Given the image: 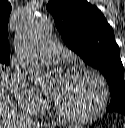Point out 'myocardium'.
<instances>
[{
    "label": "myocardium",
    "mask_w": 125,
    "mask_h": 128,
    "mask_svg": "<svg viewBox=\"0 0 125 128\" xmlns=\"http://www.w3.org/2000/svg\"><path fill=\"white\" fill-rule=\"evenodd\" d=\"M80 72H86L97 79L101 89V98L96 108L84 113H69L59 105L55 98H53V108L57 116L70 122H85L95 119L105 110L109 101V88L107 81L96 69L87 65H75L67 69L64 73V76H69Z\"/></svg>",
    "instance_id": "1"
}]
</instances>
